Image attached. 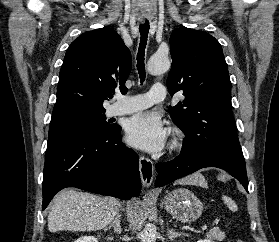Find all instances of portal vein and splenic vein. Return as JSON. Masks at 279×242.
Listing matches in <instances>:
<instances>
[{"instance_id": "18ae733b", "label": "portal vein and splenic vein", "mask_w": 279, "mask_h": 242, "mask_svg": "<svg viewBox=\"0 0 279 242\" xmlns=\"http://www.w3.org/2000/svg\"><path fill=\"white\" fill-rule=\"evenodd\" d=\"M207 229V227H203L202 230L205 231Z\"/></svg>"}]
</instances>
